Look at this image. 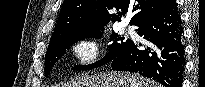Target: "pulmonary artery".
Returning <instances> with one entry per match:
<instances>
[{"mask_svg": "<svg viewBox=\"0 0 205 87\" xmlns=\"http://www.w3.org/2000/svg\"><path fill=\"white\" fill-rule=\"evenodd\" d=\"M124 29H125L126 31H128V32H131V31H132V28L129 27V26L124 27Z\"/></svg>", "mask_w": 205, "mask_h": 87, "instance_id": "1", "label": "pulmonary artery"}]
</instances>
